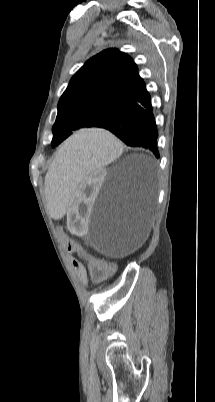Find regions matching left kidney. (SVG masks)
<instances>
[{"mask_svg":"<svg viewBox=\"0 0 215 402\" xmlns=\"http://www.w3.org/2000/svg\"><path fill=\"white\" fill-rule=\"evenodd\" d=\"M106 175L105 169H98L93 174V178L84 179L80 191L73 193L67 225L70 226L72 237H76L77 240H84L86 237L85 231L90 219L88 214L90 202L96 200L97 193L101 191V179L105 178Z\"/></svg>","mask_w":215,"mask_h":402,"instance_id":"5707ae66","label":"left kidney"}]
</instances>
